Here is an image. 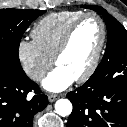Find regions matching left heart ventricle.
Here are the masks:
<instances>
[{"instance_id":"obj_1","label":"left heart ventricle","mask_w":127,"mask_h":127,"mask_svg":"<svg viewBox=\"0 0 127 127\" xmlns=\"http://www.w3.org/2000/svg\"><path fill=\"white\" fill-rule=\"evenodd\" d=\"M101 40V27L96 19L84 20L76 29L65 54L57 66L77 78L90 65Z\"/></svg>"}]
</instances>
